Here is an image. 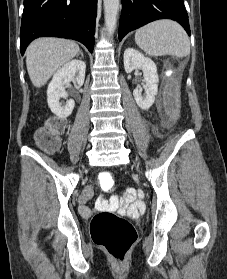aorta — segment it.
Listing matches in <instances>:
<instances>
[{
	"mask_svg": "<svg viewBox=\"0 0 227 279\" xmlns=\"http://www.w3.org/2000/svg\"><path fill=\"white\" fill-rule=\"evenodd\" d=\"M103 3L106 29L112 35L117 21L120 0H103Z\"/></svg>",
	"mask_w": 227,
	"mask_h": 279,
	"instance_id": "obj_1",
	"label": "aorta"
}]
</instances>
